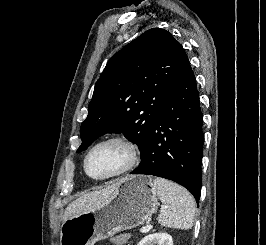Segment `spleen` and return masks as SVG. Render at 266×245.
<instances>
[{"label": "spleen", "mask_w": 266, "mask_h": 245, "mask_svg": "<svg viewBox=\"0 0 266 245\" xmlns=\"http://www.w3.org/2000/svg\"><path fill=\"white\" fill-rule=\"evenodd\" d=\"M156 193L163 205H167V211L158 215V223L161 227L170 229H184L188 231L193 227L196 203L184 189L176 183L166 181V179H154Z\"/></svg>", "instance_id": "spleen-1"}]
</instances>
